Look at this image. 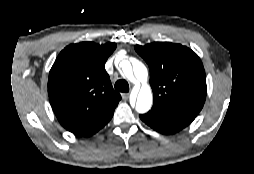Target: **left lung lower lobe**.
Listing matches in <instances>:
<instances>
[{
	"instance_id": "left-lung-lower-lobe-1",
	"label": "left lung lower lobe",
	"mask_w": 254,
	"mask_h": 174,
	"mask_svg": "<svg viewBox=\"0 0 254 174\" xmlns=\"http://www.w3.org/2000/svg\"><path fill=\"white\" fill-rule=\"evenodd\" d=\"M139 116L143 122L155 131L167 135L179 132L195 119L194 116L171 112L156 106H153L147 114Z\"/></svg>"
}]
</instances>
